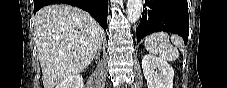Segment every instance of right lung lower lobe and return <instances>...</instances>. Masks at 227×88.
<instances>
[{
    "instance_id": "1",
    "label": "right lung lower lobe",
    "mask_w": 227,
    "mask_h": 88,
    "mask_svg": "<svg viewBox=\"0 0 227 88\" xmlns=\"http://www.w3.org/2000/svg\"><path fill=\"white\" fill-rule=\"evenodd\" d=\"M54 3L69 4L87 11L106 30L108 0H35L34 13L43 6Z\"/></svg>"
}]
</instances>
